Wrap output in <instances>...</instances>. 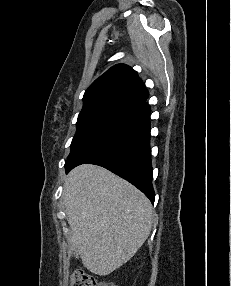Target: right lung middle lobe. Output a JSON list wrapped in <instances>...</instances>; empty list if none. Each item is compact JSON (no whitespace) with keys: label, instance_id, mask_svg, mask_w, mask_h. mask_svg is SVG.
<instances>
[{"label":"right lung middle lobe","instance_id":"1","mask_svg":"<svg viewBox=\"0 0 231 286\" xmlns=\"http://www.w3.org/2000/svg\"><path fill=\"white\" fill-rule=\"evenodd\" d=\"M135 116V110L117 104H99L83 108L78 116L77 131L65 165L76 161L94 143Z\"/></svg>","mask_w":231,"mask_h":286}]
</instances>
